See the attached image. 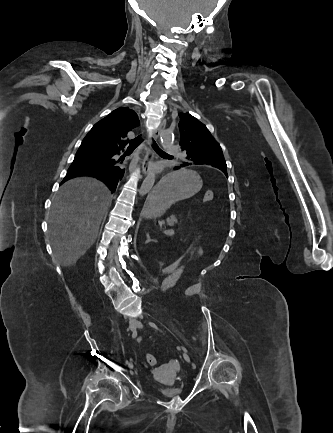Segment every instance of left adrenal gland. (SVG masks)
<instances>
[{
	"mask_svg": "<svg viewBox=\"0 0 333 433\" xmlns=\"http://www.w3.org/2000/svg\"><path fill=\"white\" fill-rule=\"evenodd\" d=\"M146 237H147V240H146L145 244H148L149 242H154V240L150 238L149 233L146 234Z\"/></svg>",
	"mask_w": 333,
	"mask_h": 433,
	"instance_id": "left-adrenal-gland-1",
	"label": "left adrenal gland"
}]
</instances>
